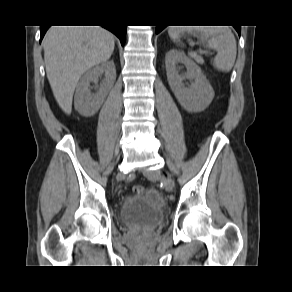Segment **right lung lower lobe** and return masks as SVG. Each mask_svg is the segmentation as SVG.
<instances>
[{
    "instance_id": "1",
    "label": "right lung lower lobe",
    "mask_w": 292,
    "mask_h": 292,
    "mask_svg": "<svg viewBox=\"0 0 292 292\" xmlns=\"http://www.w3.org/2000/svg\"><path fill=\"white\" fill-rule=\"evenodd\" d=\"M103 27L113 32L121 40L122 45H124L125 39H126V35H125L126 26L112 24V25H103ZM48 28L49 27L40 26V41L43 39L44 34L46 33Z\"/></svg>"
}]
</instances>
